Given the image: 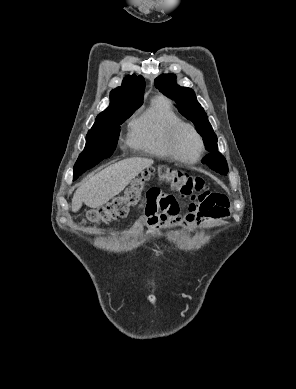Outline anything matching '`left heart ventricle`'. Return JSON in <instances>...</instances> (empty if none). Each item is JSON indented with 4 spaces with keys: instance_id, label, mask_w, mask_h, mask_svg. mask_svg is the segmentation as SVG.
<instances>
[{
    "instance_id": "left-heart-ventricle-1",
    "label": "left heart ventricle",
    "mask_w": 296,
    "mask_h": 389,
    "mask_svg": "<svg viewBox=\"0 0 296 389\" xmlns=\"http://www.w3.org/2000/svg\"><path fill=\"white\" fill-rule=\"evenodd\" d=\"M179 154L185 159H194L198 153V141L191 131L183 129L177 138Z\"/></svg>"
}]
</instances>
